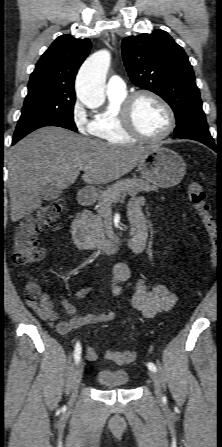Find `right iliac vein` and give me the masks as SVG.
<instances>
[{"mask_svg":"<svg viewBox=\"0 0 222 447\" xmlns=\"http://www.w3.org/2000/svg\"><path fill=\"white\" fill-rule=\"evenodd\" d=\"M83 372H84V363L82 360H79L77 363V366L75 368V371L73 374V379H72V396H71V400H70L71 404H73L75 402L78 387H79V384H80L82 376H83Z\"/></svg>","mask_w":222,"mask_h":447,"instance_id":"63e3f726","label":"right iliac vein"}]
</instances>
